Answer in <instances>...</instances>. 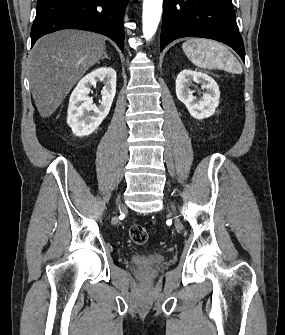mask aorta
<instances>
[{"instance_id":"aorta-1","label":"aorta","mask_w":285,"mask_h":335,"mask_svg":"<svg viewBox=\"0 0 285 335\" xmlns=\"http://www.w3.org/2000/svg\"><path fill=\"white\" fill-rule=\"evenodd\" d=\"M163 0H143V34L146 40L153 38L160 22Z\"/></svg>"}]
</instances>
